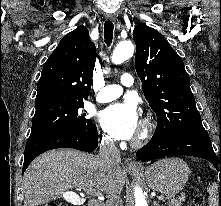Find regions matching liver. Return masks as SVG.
Instances as JSON below:
<instances>
[{
	"instance_id": "obj_1",
	"label": "liver",
	"mask_w": 221,
	"mask_h": 206,
	"mask_svg": "<svg viewBox=\"0 0 221 206\" xmlns=\"http://www.w3.org/2000/svg\"><path fill=\"white\" fill-rule=\"evenodd\" d=\"M125 179V171L119 164L108 166L89 153L72 149L48 151L37 157L24 173V206L46 204L64 197L73 188L120 195Z\"/></svg>"
}]
</instances>
